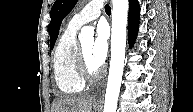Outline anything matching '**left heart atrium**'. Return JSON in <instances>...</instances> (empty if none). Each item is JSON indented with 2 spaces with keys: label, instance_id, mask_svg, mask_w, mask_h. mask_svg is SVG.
Instances as JSON below:
<instances>
[{
  "label": "left heart atrium",
  "instance_id": "39dd6f15",
  "mask_svg": "<svg viewBox=\"0 0 193 112\" xmlns=\"http://www.w3.org/2000/svg\"><path fill=\"white\" fill-rule=\"evenodd\" d=\"M108 30L104 24L97 27L96 38L92 47V58L98 66H102L108 55Z\"/></svg>",
  "mask_w": 193,
  "mask_h": 112
}]
</instances>
